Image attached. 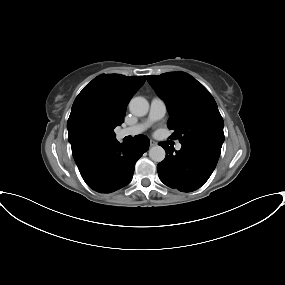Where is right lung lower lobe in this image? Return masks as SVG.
Segmentation results:
<instances>
[{"label":"right lung lower lobe","instance_id":"obj_1","mask_svg":"<svg viewBox=\"0 0 285 285\" xmlns=\"http://www.w3.org/2000/svg\"><path fill=\"white\" fill-rule=\"evenodd\" d=\"M149 148V139L136 136L131 143L110 142L86 146L73 154L86 184L99 193H111L127 185L136 161Z\"/></svg>","mask_w":285,"mask_h":285}]
</instances>
